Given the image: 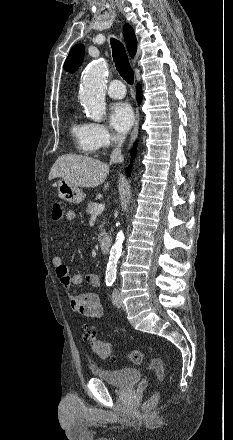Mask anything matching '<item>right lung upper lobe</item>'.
Masks as SVG:
<instances>
[{
	"instance_id": "obj_1",
	"label": "right lung upper lobe",
	"mask_w": 233,
	"mask_h": 440,
	"mask_svg": "<svg viewBox=\"0 0 233 440\" xmlns=\"http://www.w3.org/2000/svg\"><path fill=\"white\" fill-rule=\"evenodd\" d=\"M124 38L128 52L133 57L136 53L137 41L133 29L128 24L124 25ZM83 57H84L83 44L75 45L70 50L69 55L65 60L64 69L70 73L75 72L78 69L79 65L81 64Z\"/></svg>"
}]
</instances>
